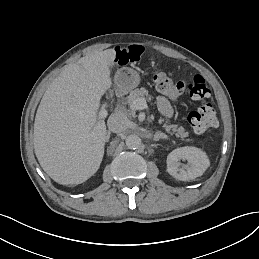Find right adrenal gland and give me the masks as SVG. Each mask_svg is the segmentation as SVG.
<instances>
[{"label": "right adrenal gland", "mask_w": 259, "mask_h": 259, "mask_svg": "<svg viewBox=\"0 0 259 259\" xmlns=\"http://www.w3.org/2000/svg\"><path fill=\"white\" fill-rule=\"evenodd\" d=\"M110 137H111V132H110V131H108V132H107V136H106V140H105V142H106V143H108V142H109Z\"/></svg>", "instance_id": "1"}]
</instances>
